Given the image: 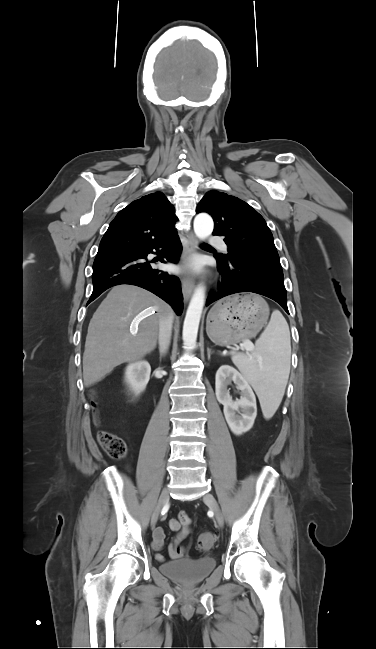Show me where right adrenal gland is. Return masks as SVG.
I'll return each mask as SVG.
<instances>
[{"instance_id":"right-adrenal-gland-1","label":"right adrenal gland","mask_w":376,"mask_h":649,"mask_svg":"<svg viewBox=\"0 0 376 649\" xmlns=\"http://www.w3.org/2000/svg\"><path fill=\"white\" fill-rule=\"evenodd\" d=\"M162 357H163V355H162V354H160V360L162 359Z\"/></svg>"}]
</instances>
